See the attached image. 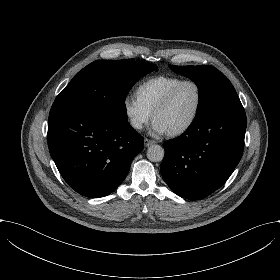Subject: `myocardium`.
<instances>
[{
    "instance_id": "1",
    "label": "myocardium",
    "mask_w": 280,
    "mask_h": 280,
    "mask_svg": "<svg viewBox=\"0 0 280 280\" xmlns=\"http://www.w3.org/2000/svg\"><path fill=\"white\" fill-rule=\"evenodd\" d=\"M188 83H192L196 86L197 88V91H198V104H197V107H196V110H195V113L193 115V117L191 118V120L189 122H187L186 124L170 131V134L171 135H180V134H183L185 132H187L189 129H191L195 123L197 122L199 116H200V113L202 111V108H203V102H204V91H203V87L202 85L200 84L199 81L195 80V79H191V78H188V79H184L182 80L181 82H179L175 87H173L168 93L167 95L163 98V100L159 103V105L156 107L155 111H154V117L156 118L157 115L162 112L164 109H166L173 97L175 96V94L177 93V91L185 84H188Z\"/></svg>"
}]
</instances>
